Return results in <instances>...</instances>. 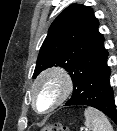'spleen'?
<instances>
[{
	"mask_svg": "<svg viewBox=\"0 0 117 131\" xmlns=\"http://www.w3.org/2000/svg\"><path fill=\"white\" fill-rule=\"evenodd\" d=\"M84 116V124L90 131H113L111 123L102 112L88 107L84 111Z\"/></svg>",
	"mask_w": 117,
	"mask_h": 131,
	"instance_id": "obj_1",
	"label": "spleen"
}]
</instances>
